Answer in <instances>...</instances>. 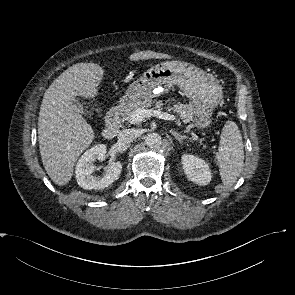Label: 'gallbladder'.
Masks as SVG:
<instances>
[{
	"label": "gallbladder",
	"instance_id": "1",
	"mask_svg": "<svg viewBox=\"0 0 295 295\" xmlns=\"http://www.w3.org/2000/svg\"><path fill=\"white\" fill-rule=\"evenodd\" d=\"M72 104L74 106V108L79 112V113H83V107L81 106V104L79 102H77L76 100L72 101Z\"/></svg>",
	"mask_w": 295,
	"mask_h": 295
}]
</instances>
